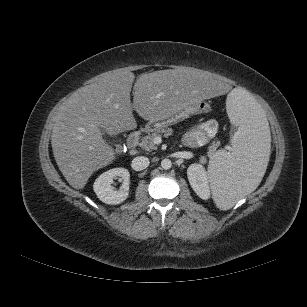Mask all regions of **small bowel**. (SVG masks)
Returning <instances> with one entry per match:
<instances>
[{"instance_id":"obj_1","label":"small bowel","mask_w":307,"mask_h":307,"mask_svg":"<svg viewBox=\"0 0 307 307\" xmlns=\"http://www.w3.org/2000/svg\"><path fill=\"white\" fill-rule=\"evenodd\" d=\"M218 131L215 120L202 122L191 129L183 138V143L189 147L203 146L213 138Z\"/></svg>"}]
</instances>
